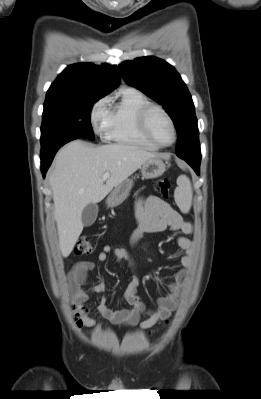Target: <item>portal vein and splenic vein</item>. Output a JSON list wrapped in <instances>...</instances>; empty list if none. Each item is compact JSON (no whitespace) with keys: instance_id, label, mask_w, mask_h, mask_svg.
<instances>
[{"instance_id":"1","label":"portal vein and splenic vein","mask_w":261,"mask_h":399,"mask_svg":"<svg viewBox=\"0 0 261 399\" xmlns=\"http://www.w3.org/2000/svg\"><path fill=\"white\" fill-rule=\"evenodd\" d=\"M110 176L109 172L103 174L102 179L106 180Z\"/></svg>"}]
</instances>
